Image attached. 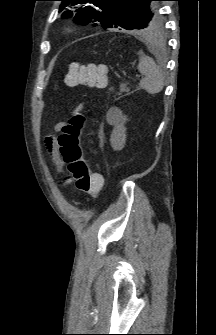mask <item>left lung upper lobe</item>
<instances>
[{
  "instance_id": "1",
  "label": "left lung upper lobe",
  "mask_w": 216,
  "mask_h": 335,
  "mask_svg": "<svg viewBox=\"0 0 216 335\" xmlns=\"http://www.w3.org/2000/svg\"><path fill=\"white\" fill-rule=\"evenodd\" d=\"M60 11L76 6L74 21L81 24L95 22L104 28H124L157 33L163 29V19L159 13V0H59ZM89 4V5H87ZM72 16L65 11L63 18Z\"/></svg>"
}]
</instances>
